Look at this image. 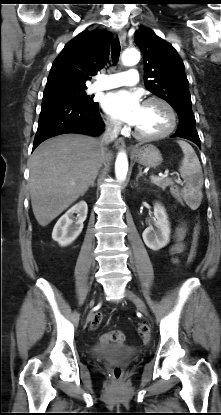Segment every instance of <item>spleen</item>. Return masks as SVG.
Listing matches in <instances>:
<instances>
[{
    "label": "spleen",
    "mask_w": 221,
    "mask_h": 415,
    "mask_svg": "<svg viewBox=\"0 0 221 415\" xmlns=\"http://www.w3.org/2000/svg\"><path fill=\"white\" fill-rule=\"evenodd\" d=\"M177 143L184 153L181 166L179 167V172L185 182V187L181 190V195L192 209H196L202 200V168L191 145L182 140L177 141Z\"/></svg>",
    "instance_id": "spleen-1"
}]
</instances>
